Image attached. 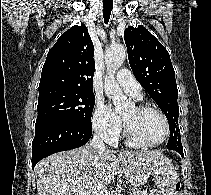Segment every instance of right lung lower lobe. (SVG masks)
<instances>
[{
  "instance_id": "98d812e1",
  "label": "right lung lower lobe",
  "mask_w": 211,
  "mask_h": 195,
  "mask_svg": "<svg viewBox=\"0 0 211 195\" xmlns=\"http://www.w3.org/2000/svg\"><path fill=\"white\" fill-rule=\"evenodd\" d=\"M92 135V125L52 121L35 127L32 142V168L44 157L80 147Z\"/></svg>"
}]
</instances>
